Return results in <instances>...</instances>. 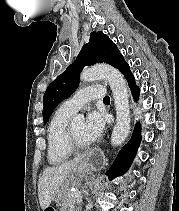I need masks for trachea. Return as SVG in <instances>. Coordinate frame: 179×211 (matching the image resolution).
I'll return each instance as SVG.
<instances>
[{
	"instance_id": "obj_1",
	"label": "trachea",
	"mask_w": 179,
	"mask_h": 211,
	"mask_svg": "<svg viewBox=\"0 0 179 211\" xmlns=\"http://www.w3.org/2000/svg\"><path fill=\"white\" fill-rule=\"evenodd\" d=\"M103 101H110V97L109 96H105Z\"/></svg>"
}]
</instances>
